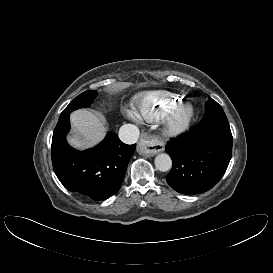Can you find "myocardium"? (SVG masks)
Returning <instances> with one entry per match:
<instances>
[{
    "instance_id": "myocardium-1",
    "label": "myocardium",
    "mask_w": 273,
    "mask_h": 273,
    "mask_svg": "<svg viewBox=\"0 0 273 273\" xmlns=\"http://www.w3.org/2000/svg\"><path fill=\"white\" fill-rule=\"evenodd\" d=\"M194 109L189 103L176 106L164 119L163 133L168 137H177L190 125Z\"/></svg>"
}]
</instances>
